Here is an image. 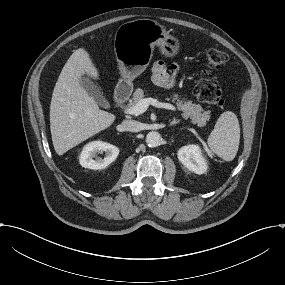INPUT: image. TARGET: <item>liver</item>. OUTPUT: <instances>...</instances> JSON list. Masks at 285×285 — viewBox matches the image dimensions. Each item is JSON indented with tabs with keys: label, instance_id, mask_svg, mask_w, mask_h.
Listing matches in <instances>:
<instances>
[{
	"label": "liver",
	"instance_id": "liver-1",
	"mask_svg": "<svg viewBox=\"0 0 285 285\" xmlns=\"http://www.w3.org/2000/svg\"><path fill=\"white\" fill-rule=\"evenodd\" d=\"M85 73L99 77L87 51L79 48L64 65L50 104V130L58 155L108 128L115 120V115L99 109L81 85Z\"/></svg>",
	"mask_w": 285,
	"mask_h": 285
}]
</instances>
